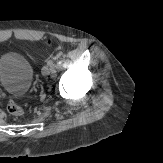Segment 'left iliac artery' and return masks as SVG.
I'll use <instances>...</instances> for the list:
<instances>
[{"instance_id":"obj_1","label":"left iliac artery","mask_w":163,"mask_h":163,"mask_svg":"<svg viewBox=\"0 0 163 163\" xmlns=\"http://www.w3.org/2000/svg\"><path fill=\"white\" fill-rule=\"evenodd\" d=\"M48 65L52 67V66H54V62L52 60H50V61H48Z\"/></svg>"}]
</instances>
